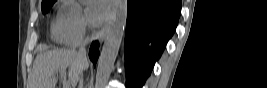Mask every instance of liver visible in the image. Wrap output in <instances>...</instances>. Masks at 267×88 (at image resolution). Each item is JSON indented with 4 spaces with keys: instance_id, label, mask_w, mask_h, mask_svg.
<instances>
[{
    "instance_id": "6515ba94",
    "label": "liver",
    "mask_w": 267,
    "mask_h": 88,
    "mask_svg": "<svg viewBox=\"0 0 267 88\" xmlns=\"http://www.w3.org/2000/svg\"><path fill=\"white\" fill-rule=\"evenodd\" d=\"M68 68V83L76 86L80 74L88 68V61L77 57L70 49H55L38 55L29 78V88H55L56 74Z\"/></svg>"
}]
</instances>
